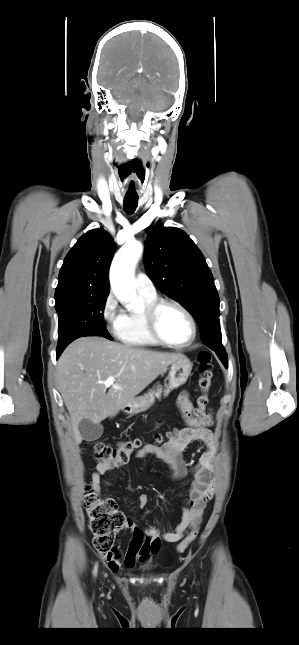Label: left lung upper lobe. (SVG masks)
<instances>
[{
    "instance_id": "left-lung-upper-lobe-1",
    "label": "left lung upper lobe",
    "mask_w": 299,
    "mask_h": 645,
    "mask_svg": "<svg viewBox=\"0 0 299 645\" xmlns=\"http://www.w3.org/2000/svg\"><path fill=\"white\" fill-rule=\"evenodd\" d=\"M145 245L144 262L150 279L193 315L204 344L227 364L221 340L219 296L201 251L184 231L165 228L160 222L148 230Z\"/></svg>"
}]
</instances>
